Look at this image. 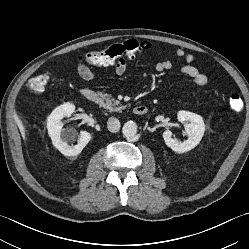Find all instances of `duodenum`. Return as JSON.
<instances>
[{"mask_svg": "<svg viewBox=\"0 0 249 249\" xmlns=\"http://www.w3.org/2000/svg\"><path fill=\"white\" fill-rule=\"evenodd\" d=\"M81 95L89 102H96L99 99V95L96 90L91 88H82ZM134 114L137 116L145 115L148 111V108L144 104H140L134 107Z\"/></svg>", "mask_w": 249, "mask_h": 249, "instance_id": "obj_1", "label": "duodenum"}]
</instances>
